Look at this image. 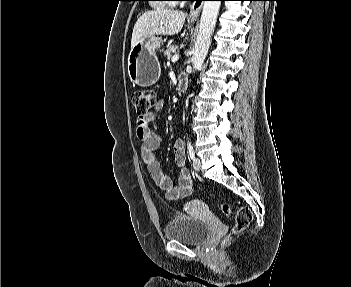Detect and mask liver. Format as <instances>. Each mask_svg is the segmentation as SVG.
I'll return each mask as SVG.
<instances>
[{"instance_id":"liver-1","label":"liver","mask_w":351,"mask_h":287,"mask_svg":"<svg viewBox=\"0 0 351 287\" xmlns=\"http://www.w3.org/2000/svg\"><path fill=\"white\" fill-rule=\"evenodd\" d=\"M186 14L181 11L159 9L142 14L133 28L131 48L139 40L155 35L178 34L185 22Z\"/></svg>"}]
</instances>
